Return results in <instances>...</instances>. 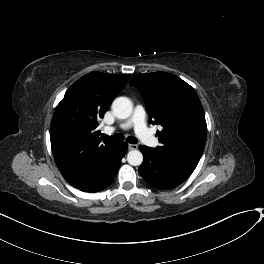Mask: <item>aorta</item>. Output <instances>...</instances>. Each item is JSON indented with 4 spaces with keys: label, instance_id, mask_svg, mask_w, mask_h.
Returning a JSON list of instances; mask_svg holds the SVG:
<instances>
[{
    "label": "aorta",
    "instance_id": "obj_1",
    "mask_svg": "<svg viewBox=\"0 0 264 264\" xmlns=\"http://www.w3.org/2000/svg\"><path fill=\"white\" fill-rule=\"evenodd\" d=\"M112 111L119 119H127L132 113V103L127 97H118L112 103ZM127 161L132 166H139L143 162V155L139 150H131L127 154Z\"/></svg>",
    "mask_w": 264,
    "mask_h": 264
}]
</instances>
